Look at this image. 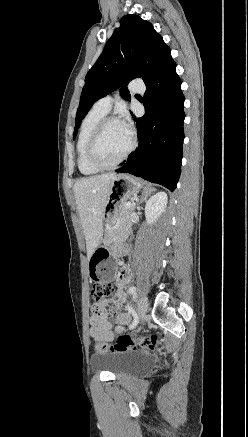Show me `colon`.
Masks as SVG:
<instances>
[{
	"mask_svg": "<svg viewBox=\"0 0 248 437\" xmlns=\"http://www.w3.org/2000/svg\"><path fill=\"white\" fill-rule=\"evenodd\" d=\"M111 291V286L93 285L91 290V298L94 302H100L107 298L111 294ZM94 348L98 353H120L133 351L139 348L155 351L158 348V338L156 336L132 338L128 335H121L114 344H108L106 342L99 341L95 344Z\"/></svg>",
	"mask_w": 248,
	"mask_h": 437,
	"instance_id": "obj_1",
	"label": "colon"
}]
</instances>
